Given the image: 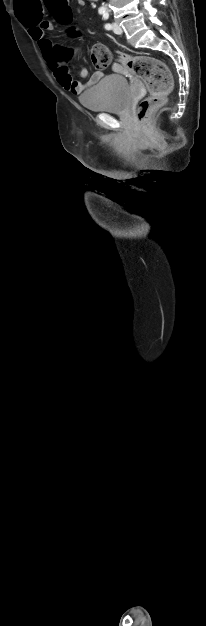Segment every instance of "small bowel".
<instances>
[{
    "instance_id": "small-bowel-1",
    "label": "small bowel",
    "mask_w": 206,
    "mask_h": 626,
    "mask_svg": "<svg viewBox=\"0 0 206 626\" xmlns=\"http://www.w3.org/2000/svg\"><path fill=\"white\" fill-rule=\"evenodd\" d=\"M79 6H84V0H77ZM29 34L33 40L38 43L41 53L52 69L57 82L72 94L79 95L90 86L96 84L103 76V73L97 71L91 75L86 83L73 80L67 66L57 58L56 49L52 41L45 36L47 31L52 30V23L47 20H40L35 24H27ZM79 76L85 78L88 76V69L85 66L79 68Z\"/></svg>"
}]
</instances>
